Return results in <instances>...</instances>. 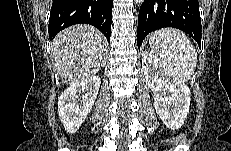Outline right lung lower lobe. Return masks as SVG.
Masks as SVG:
<instances>
[{
	"instance_id": "right-lung-lower-lobe-1",
	"label": "right lung lower lobe",
	"mask_w": 231,
	"mask_h": 151,
	"mask_svg": "<svg viewBox=\"0 0 231 151\" xmlns=\"http://www.w3.org/2000/svg\"><path fill=\"white\" fill-rule=\"evenodd\" d=\"M113 0H53L49 19V38L74 24H90L110 42Z\"/></svg>"
}]
</instances>
